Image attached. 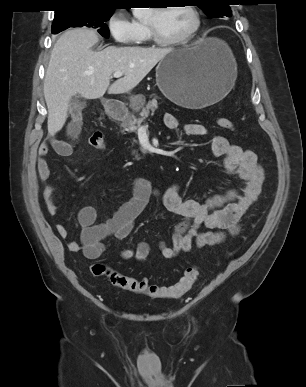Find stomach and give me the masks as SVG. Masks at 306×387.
I'll return each instance as SVG.
<instances>
[{
    "mask_svg": "<svg viewBox=\"0 0 306 387\" xmlns=\"http://www.w3.org/2000/svg\"><path fill=\"white\" fill-rule=\"evenodd\" d=\"M237 67L230 48L204 38L168 53L156 67V83L175 104L200 109L223 99L233 88Z\"/></svg>",
    "mask_w": 306,
    "mask_h": 387,
    "instance_id": "obj_1",
    "label": "stomach"
}]
</instances>
